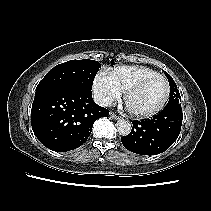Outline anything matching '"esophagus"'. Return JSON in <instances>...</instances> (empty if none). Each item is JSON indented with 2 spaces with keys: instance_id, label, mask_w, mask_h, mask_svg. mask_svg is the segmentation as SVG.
<instances>
[{
  "instance_id": "obj_1",
  "label": "esophagus",
  "mask_w": 211,
  "mask_h": 211,
  "mask_svg": "<svg viewBox=\"0 0 211 211\" xmlns=\"http://www.w3.org/2000/svg\"><path fill=\"white\" fill-rule=\"evenodd\" d=\"M110 116H111L113 119H119V118H120V116H118L117 114H115V113H113V112L110 113Z\"/></svg>"
}]
</instances>
